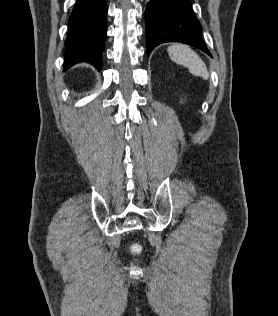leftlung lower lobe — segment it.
Masks as SVG:
<instances>
[{
    "instance_id": "0a47b994",
    "label": "left lung lower lobe",
    "mask_w": 278,
    "mask_h": 316,
    "mask_svg": "<svg viewBox=\"0 0 278 316\" xmlns=\"http://www.w3.org/2000/svg\"><path fill=\"white\" fill-rule=\"evenodd\" d=\"M147 55L159 44L181 42L212 57L202 40V26L190 0H150L145 10Z\"/></svg>"
}]
</instances>
